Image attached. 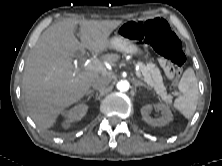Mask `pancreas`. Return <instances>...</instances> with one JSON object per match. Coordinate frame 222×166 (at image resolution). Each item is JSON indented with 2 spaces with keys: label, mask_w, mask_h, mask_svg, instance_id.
Wrapping results in <instances>:
<instances>
[{
  "label": "pancreas",
  "mask_w": 222,
  "mask_h": 166,
  "mask_svg": "<svg viewBox=\"0 0 222 166\" xmlns=\"http://www.w3.org/2000/svg\"><path fill=\"white\" fill-rule=\"evenodd\" d=\"M139 72L142 74L144 81L149 87L153 88L157 95L165 102H170L172 97L167 94L166 88L163 84V78L159 68L153 64L139 63Z\"/></svg>",
  "instance_id": "1"
}]
</instances>
